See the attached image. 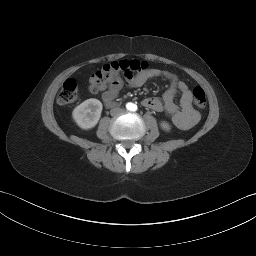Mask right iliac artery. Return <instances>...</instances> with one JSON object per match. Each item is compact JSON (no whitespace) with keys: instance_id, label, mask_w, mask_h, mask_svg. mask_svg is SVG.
<instances>
[{"instance_id":"82829eb1","label":"right iliac artery","mask_w":256,"mask_h":256,"mask_svg":"<svg viewBox=\"0 0 256 256\" xmlns=\"http://www.w3.org/2000/svg\"><path fill=\"white\" fill-rule=\"evenodd\" d=\"M127 107H130V105H129V104H127Z\"/></svg>"}]
</instances>
